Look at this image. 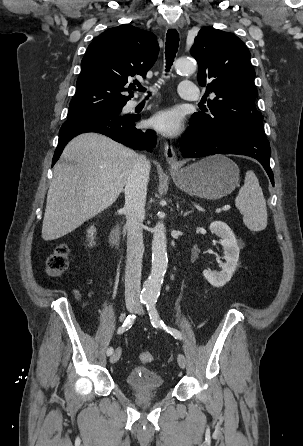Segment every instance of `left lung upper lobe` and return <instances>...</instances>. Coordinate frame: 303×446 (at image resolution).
<instances>
[{
	"instance_id": "5c2ea615",
	"label": "left lung upper lobe",
	"mask_w": 303,
	"mask_h": 446,
	"mask_svg": "<svg viewBox=\"0 0 303 446\" xmlns=\"http://www.w3.org/2000/svg\"><path fill=\"white\" fill-rule=\"evenodd\" d=\"M190 53L198 62V83L207 85L206 97H211L205 100L211 115L194 113L190 123L266 138L263 117L255 107V71L243 41L232 33L205 27Z\"/></svg>"
}]
</instances>
